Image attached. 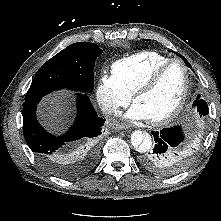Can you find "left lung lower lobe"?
Here are the masks:
<instances>
[{
    "label": "left lung lower lobe",
    "instance_id": "1",
    "mask_svg": "<svg viewBox=\"0 0 221 221\" xmlns=\"http://www.w3.org/2000/svg\"><path fill=\"white\" fill-rule=\"evenodd\" d=\"M155 145L141 157V164L148 171L168 176L179 173L189 163L191 147L181 126L152 131Z\"/></svg>",
    "mask_w": 221,
    "mask_h": 221
}]
</instances>
